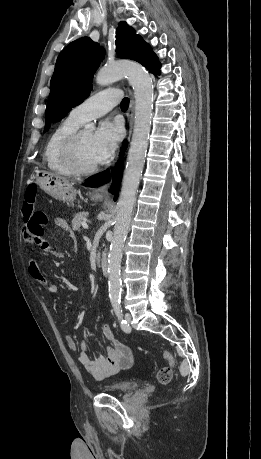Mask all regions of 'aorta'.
I'll use <instances>...</instances> for the list:
<instances>
[{
  "label": "aorta",
  "instance_id": "obj_1",
  "mask_svg": "<svg viewBox=\"0 0 261 459\" xmlns=\"http://www.w3.org/2000/svg\"><path fill=\"white\" fill-rule=\"evenodd\" d=\"M123 77H127L134 90L135 113L133 135L117 204L116 224L108 254L109 297L112 301H118L121 295L122 251L145 164L153 109L152 79L138 63L119 62L105 66L97 73L96 82L98 85L107 86ZM94 129V124L85 125L87 131Z\"/></svg>",
  "mask_w": 261,
  "mask_h": 459
}]
</instances>
